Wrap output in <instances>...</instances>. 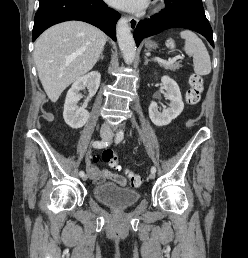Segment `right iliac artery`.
<instances>
[{
	"label": "right iliac artery",
	"instance_id": "right-iliac-artery-1",
	"mask_svg": "<svg viewBox=\"0 0 248 258\" xmlns=\"http://www.w3.org/2000/svg\"><path fill=\"white\" fill-rule=\"evenodd\" d=\"M110 144H111V141H94L93 147L100 149V148H105V147L109 146ZM79 175L81 177H83L85 175L84 171H80Z\"/></svg>",
	"mask_w": 248,
	"mask_h": 258
}]
</instances>
